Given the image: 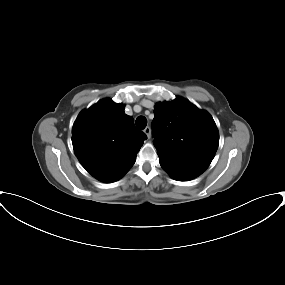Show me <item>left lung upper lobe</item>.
Wrapping results in <instances>:
<instances>
[{"label":"left lung upper lobe","mask_w":285,"mask_h":285,"mask_svg":"<svg viewBox=\"0 0 285 285\" xmlns=\"http://www.w3.org/2000/svg\"><path fill=\"white\" fill-rule=\"evenodd\" d=\"M153 143L160 158L204 172L219 144V133L211 115L186 99L155 105Z\"/></svg>","instance_id":"left-lung-upper-lobe-1"}]
</instances>
